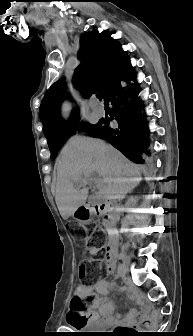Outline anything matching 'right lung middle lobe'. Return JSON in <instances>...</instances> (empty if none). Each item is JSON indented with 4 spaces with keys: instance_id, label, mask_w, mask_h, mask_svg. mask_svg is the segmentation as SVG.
<instances>
[{
    "instance_id": "dd1d6c3e",
    "label": "right lung middle lobe",
    "mask_w": 193,
    "mask_h": 336,
    "mask_svg": "<svg viewBox=\"0 0 193 336\" xmlns=\"http://www.w3.org/2000/svg\"><path fill=\"white\" fill-rule=\"evenodd\" d=\"M100 125H101L100 121L95 125H88L86 127V131L88 132V134H92L96 129L99 128ZM76 126H77V122L71 128H69L66 132L59 134L55 136L54 138H52L50 141H48V146L51 151V160H54L56 158L58 151L61 149V147L63 146L65 141L68 139V137L73 134Z\"/></svg>"
}]
</instances>
